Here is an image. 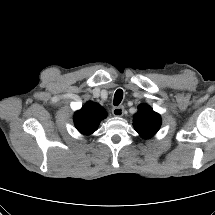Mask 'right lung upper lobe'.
<instances>
[{
	"label": "right lung upper lobe",
	"instance_id": "1",
	"mask_svg": "<svg viewBox=\"0 0 215 215\" xmlns=\"http://www.w3.org/2000/svg\"><path fill=\"white\" fill-rule=\"evenodd\" d=\"M106 116L107 113L104 108L95 102L89 101L81 110L75 113V126L80 133L90 135Z\"/></svg>",
	"mask_w": 215,
	"mask_h": 215
}]
</instances>
